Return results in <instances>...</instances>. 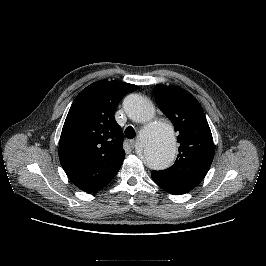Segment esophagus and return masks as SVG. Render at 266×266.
Listing matches in <instances>:
<instances>
[{"label":"esophagus","mask_w":266,"mask_h":266,"mask_svg":"<svg viewBox=\"0 0 266 266\" xmlns=\"http://www.w3.org/2000/svg\"><path fill=\"white\" fill-rule=\"evenodd\" d=\"M129 144H130L131 148H134L135 147V140H130Z\"/></svg>","instance_id":"34e87169"}]
</instances>
